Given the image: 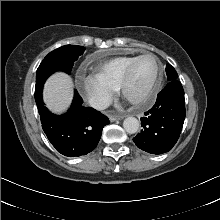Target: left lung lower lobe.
Instances as JSON below:
<instances>
[{
  "label": "left lung lower lobe",
  "instance_id": "obj_1",
  "mask_svg": "<svg viewBox=\"0 0 220 220\" xmlns=\"http://www.w3.org/2000/svg\"><path fill=\"white\" fill-rule=\"evenodd\" d=\"M185 119L184 90L177 80L157 95L155 105L141 118L143 129L133 138L136 146L148 153L168 152L177 142Z\"/></svg>",
  "mask_w": 220,
  "mask_h": 220
}]
</instances>
